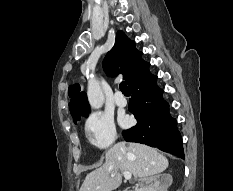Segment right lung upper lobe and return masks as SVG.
I'll return each mask as SVG.
<instances>
[{
    "mask_svg": "<svg viewBox=\"0 0 233 191\" xmlns=\"http://www.w3.org/2000/svg\"><path fill=\"white\" fill-rule=\"evenodd\" d=\"M143 62L142 52L138 51L135 43L119 30L113 48L103 61V68L109 76L123 74L128 83ZM68 93L71 97L69 109L72 116L89 111L86 93L80 92L79 84L70 86Z\"/></svg>",
    "mask_w": 233,
    "mask_h": 191,
    "instance_id": "obj_1",
    "label": "right lung upper lobe"
}]
</instances>
